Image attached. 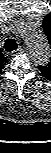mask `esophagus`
I'll use <instances>...</instances> for the list:
<instances>
[{
    "instance_id": "1",
    "label": "esophagus",
    "mask_w": 51,
    "mask_h": 153,
    "mask_svg": "<svg viewBox=\"0 0 51 153\" xmlns=\"http://www.w3.org/2000/svg\"><path fill=\"white\" fill-rule=\"evenodd\" d=\"M22 52H23V49L17 48L16 50H14V51L12 52V55H17V54H20V53H22Z\"/></svg>"
}]
</instances>
